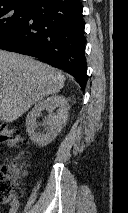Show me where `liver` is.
I'll return each instance as SVG.
<instances>
[{
  "mask_svg": "<svg viewBox=\"0 0 128 213\" xmlns=\"http://www.w3.org/2000/svg\"><path fill=\"white\" fill-rule=\"evenodd\" d=\"M64 81L52 66L0 49V121L17 120L37 101L58 93Z\"/></svg>",
  "mask_w": 128,
  "mask_h": 213,
  "instance_id": "liver-1",
  "label": "liver"
}]
</instances>
